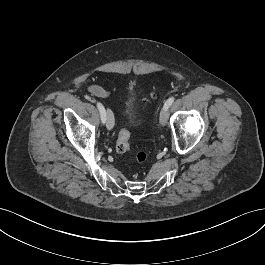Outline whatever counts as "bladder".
Listing matches in <instances>:
<instances>
[{"label":"bladder","instance_id":"bladder-1","mask_svg":"<svg viewBox=\"0 0 265 265\" xmlns=\"http://www.w3.org/2000/svg\"><path fill=\"white\" fill-rule=\"evenodd\" d=\"M126 103H127L126 110L130 112L132 110L133 106H134V100H133V98H132L130 93H129L128 97H127Z\"/></svg>","mask_w":265,"mask_h":265}]
</instances>
